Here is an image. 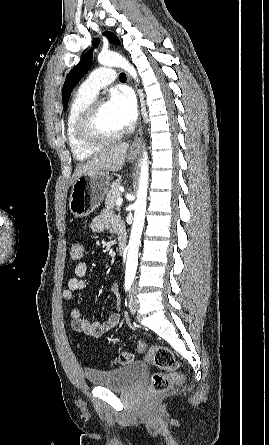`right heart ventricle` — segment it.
<instances>
[{
  "label": "right heart ventricle",
  "instance_id": "obj_1",
  "mask_svg": "<svg viewBox=\"0 0 269 445\" xmlns=\"http://www.w3.org/2000/svg\"><path fill=\"white\" fill-rule=\"evenodd\" d=\"M95 96H91L79 90L73 97L68 114L66 124V136L70 150L74 158L78 161H84L92 157L99 150V147H87L80 143L75 134L76 121L81 112L89 105Z\"/></svg>",
  "mask_w": 269,
  "mask_h": 445
}]
</instances>
